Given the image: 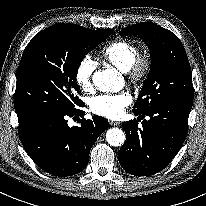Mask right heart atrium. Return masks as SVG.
I'll use <instances>...</instances> for the list:
<instances>
[{
  "label": "right heart atrium",
  "mask_w": 206,
  "mask_h": 206,
  "mask_svg": "<svg viewBox=\"0 0 206 206\" xmlns=\"http://www.w3.org/2000/svg\"><path fill=\"white\" fill-rule=\"evenodd\" d=\"M96 66V62L90 56L83 57L77 65L75 80L77 85L85 92L93 89V75Z\"/></svg>",
  "instance_id": "d8ad5b80"
}]
</instances>
